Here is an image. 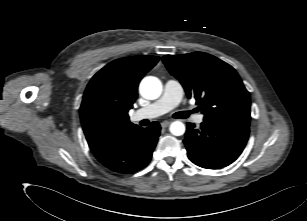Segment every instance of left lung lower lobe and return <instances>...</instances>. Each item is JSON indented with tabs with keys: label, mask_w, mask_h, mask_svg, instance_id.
Segmentation results:
<instances>
[{
	"label": "left lung lower lobe",
	"mask_w": 307,
	"mask_h": 221,
	"mask_svg": "<svg viewBox=\"0 0 307 221\" xmlns=\"http://www.w3.org/2000/svg\"><path fill=\"white\" fill-rule=\"evenodd\" d=\"M249 137V127L204 121L199 129L187 124L184 143L189 159L203 168L218 169L234 162Z\"/></svg>",
	"instance_id": "0a47b994"
}]
</instances>
